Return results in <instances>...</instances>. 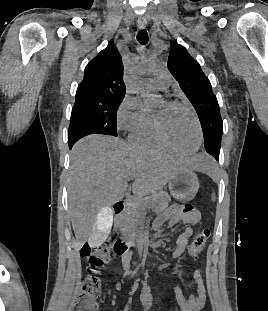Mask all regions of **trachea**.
Segmentation results:
<instances>
[{
	"instance_id": "1",
	"label": "trachea",
	"mask_w": 268,
	"mask_h": 311,
	"mask_svg": "<svg viewBox=\"0 0 268 311\" xmlns=\"http://www.w3.org/2000/svg\"><path fill=\"white\" fill-rule=\"evenodd\" d=\"M137 41L141 44V45H146L148 42V33L146 30H140L137 34Z\"/></svg>"
}]
</instances>
